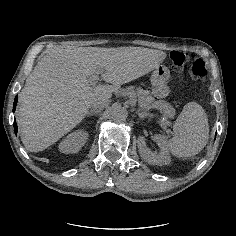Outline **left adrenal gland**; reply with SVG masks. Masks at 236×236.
Masks as SVG:
<instances>
[{"label":"left adrenal gland","instance_id":"a2214340","mask_svg":"<svg viewBox=\"0 0 236 236\" xmlns=\"http://www.w3.org/2000/svg\"><path fill=\"white\" fill-rule=\"evenodd\" d=\"M153 115L154 114L151 112H146V111L142 112L141 109L138 110V116L140 119L146 118L148 116H153Z\"/></svg>","mask_w":236,"mask_h":236}]
</instances>
